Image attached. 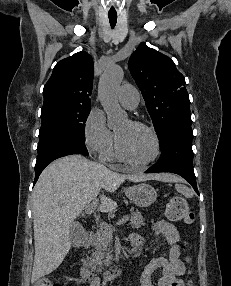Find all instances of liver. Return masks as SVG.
<instances>
[{"instance_id": "liver-1", "label": "liver", "mask_w": 231, "mask_h": 286, "mask_svg": "<svg viewBox=\"0 0 231 286\" xmlns=\"http://www.w3.org/2000/svg\"><path fill=\"white\" fill-rule=\"evenodd\" d=\"M178 181L170 174L123 175L81 155L53 161L41 173L32 195L35 256L31 282L53 272L70 250V227L101 189L115 192L125 181ZM117 203L100 195L99 210L110 212Z\"/></svg>"}]
</instances>
